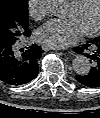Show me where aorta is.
<instances>
[{
	"label": "aorta",
	"mask_w": 100,
	"mask_h": 118,
	"mask_svg": "<svg viewBox=\"0 0 100 118\" xmlns=\"http://www.w3.org/2000/svg\"><path fill=\"white\" fill-rule=\"evenodd\" d=\"M49 10L55 15H62L66 9L62 0H50ZM72 66L78 75H86L91 67L89 59L83 55H77L72 61Z\"/></svg>",
	"instance_id": "762f6f07"
}]
</instances>
